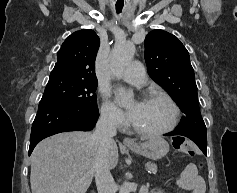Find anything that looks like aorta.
<instances>
[{"label": "aorta", "instance_id": "obj_1", "mask_svg": "<svg viewBox=\"0 0 237 193\" xmlns=\"http://www.w3.org/2000/svg\"><path fill=\"white\" fill-rule=\"evenodd\" d=\"M135 46L132 43H116L111 52L110 67L115 74H119L132 61ZM126 99H131L133 93L131 91H123ZM119 193H130L129 183L124 181Z\"/></svg>", "mask_w": 237, "mask_h": 193}]
</instances>
